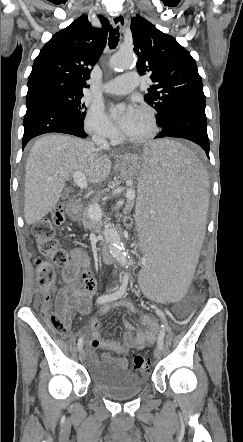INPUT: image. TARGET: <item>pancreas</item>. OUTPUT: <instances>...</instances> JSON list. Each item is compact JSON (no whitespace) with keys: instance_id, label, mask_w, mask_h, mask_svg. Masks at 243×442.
Here are the masks:
<instances>
[{"instance_id":"cf45deb5","label":"pancreas","mask_w":243,"mask_h":442,"mask_svg":"<svg viewBox=\"0 0 243 442\" xmlns=\"http://www.w3.org/2000/svg\"><path fill=\"white\" fill-rule=\"evenodd\" d=\"M88 210L89 207L82 209V224L86 229L95 230L99 227V223L89 217Z\"/></svg>"}]
</instances>
